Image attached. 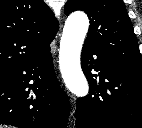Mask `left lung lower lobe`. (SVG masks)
I'll use <instances>...</instances> for the list:
<instances>
[{"label": "left lung lower lobe", "instance_id": "obj_1", "mask_svg": "<svg viewBox=\"0 0 142 128\" xmlns=\"http://www.w3.org/2000/svg\"><path fill=\"white\" fill-rule=\"evenodd\" d=\"M81 66L90 92L77 101L76 128H142V70L117 65L85 43Z\"/></svg>", "mask_w": 142, "mask_h": 128}]
</instances>
